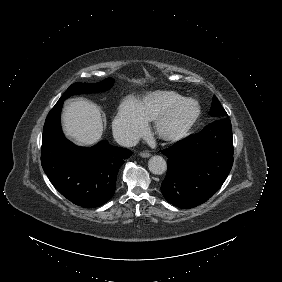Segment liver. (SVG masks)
I'll return each instance as SVG.
<instances>
[{
    "instance_id": "liver-1",
    "label": "liver",
    "mask_w": 282,
    "mask_h": 282,
    "mask_svg": "<svg viewBox=\"0 0 282 282\" xmlns=\"http://www.w3.org/2000/svg\"><path fill=\"white\" fill-rule=\"evenodd\" d=\"M61 126L62 132L78 146L98 144L104 132L100 109L86 99L71 101L63 108Z\"/></svg>"
}]
</instances>
